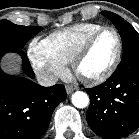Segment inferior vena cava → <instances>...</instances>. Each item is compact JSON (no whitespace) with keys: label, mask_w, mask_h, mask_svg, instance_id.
<instances>
[{"label":"inferior vena cava","mask_w":139,"mask_h":139,"mask_svg":"<svg viewBox=\"0 0 139 139\" xmlns=\"http://www.w3.org/2000/svg\"><path fill=\"white\" fill-rule=\"evenodd\" d=\"M37 81L41 86L49 87L55 85L58 78L53 74L40 73L37 75Z\"/></svg>","instance_id":"obj_1"}]
</instances>
